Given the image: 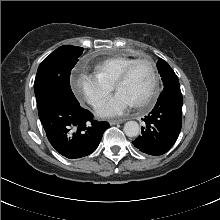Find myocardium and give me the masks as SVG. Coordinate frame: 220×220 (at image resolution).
I'll list each match as a JSON object with an SVG mask.
<instances>
[{
    "label": "myocardium",
    "mask_w": 220,
    "mask_h": 220,
    "mask_svg": "<svg viewBox=\"0 0 220 220\" xmlns=\"http://www.w3.org/2000/svg\"><path fill=\"white\" fill-rule=\"evenodd\" d=\"M140 63H147L149 65V68L151 71V87H150V92L147 95V97L141 102L135 104V106L138 108L148 106L155 100L157 96L158 86H159V76H158L155 62L150 57H143V58H138V59L133 60L131 63H129L125 67V69L122 71V73L117 78L114 84V87L117 90L118 87L129 78L134 67Z\"/></svg>",
    "instance_id": "obj_1"
}]
</instances>
